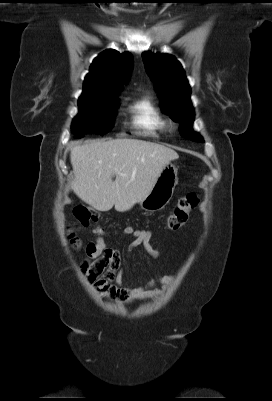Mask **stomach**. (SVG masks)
<instances>
[{"instance_id": "stomach-1", "label": "stomach", "mask_w": 272, "mask_h": 401, "mask_svg": "<svg viewBox=\"0 0 272 401\" xmlns=\"http://www.w3.org/2000/svg\"><path fill=\"white\" fill-rule=\"evenodd\" d=\"M177 184V168L169 162L162 169L149 194L140 201L141 208L150 212L163 209L172 198Z\"/></svg>"}]
</instances>
